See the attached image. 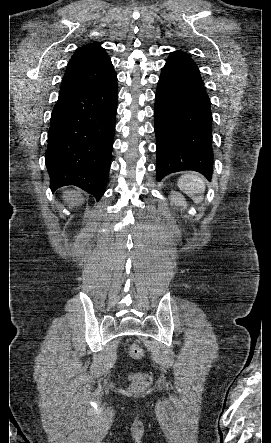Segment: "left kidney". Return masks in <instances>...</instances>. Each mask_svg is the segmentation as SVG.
Instances as JSON below:
<instances>
[{
	"label": "left kidney",
	"mask_w": 271,
	"mask_h": 443,
	"mask_svg": "<svg viewBox=\"0 0 271 443\" xmlns=\"http://www.w3.org/2000/svg\"><path fill=\"white\" fill-rule=\"evenodd\" d=\"M171 200H173L174 204H177V206H187L185 198H183L181 194H177V192H174Z\"/></svg>",
	"instance_id": "obj_1"
}]
</instances>
